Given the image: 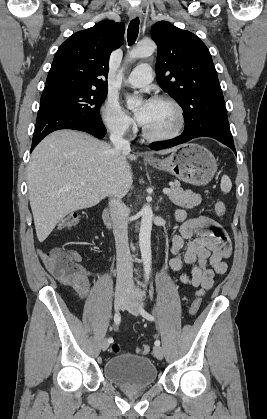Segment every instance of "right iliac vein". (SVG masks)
I'll return each mask as SVG.
<instances>
[{
	"label": "right iliac vein",
	"instance_id": "63e3f726",
	"mask_svg": "<svg viewBox=\"0 0 267 419\" xmlns=\"http://www.w3.org/2000/svg\"><path fill=\"white\" fill-rule=\"evenodd\" d=\"M126 297H127V293L125 291L117 292L115 296V305H114L116 311H119L123 307ZM101 347L103 351H105L109 347V342L107 339L103 340Z\"/></svg>",
	"mask_w": 267,
	"mask_h": 419
}]
</instances>
